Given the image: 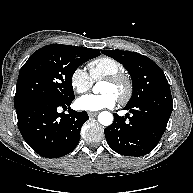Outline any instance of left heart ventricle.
<instances>
[{
  "instance_id": "1",
  "label": "left heart ventricle",
  "mask_w": 193,
  "mask_h": 193,
  "mask_svg": "<svg viewBox=\"0 0 193 193\" xmlns=\"http://www.w3.org/2000/svg\"><path fill=\"white\" fill-rule=\"evenodd\" d=\"M100 92L101 93H111L113 94L116 98L121 96L124 92V87L123 86H117L113 85L107 81H103L101 86H100Z\"/></svg>"
}]
</instances>
